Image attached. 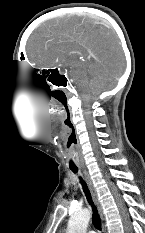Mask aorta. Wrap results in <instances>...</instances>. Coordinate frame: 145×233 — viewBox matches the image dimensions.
I'll use <instances>...</instances> for the list:
<instances>
[{"mask_svg":"<svg viewBox=\"0 0 145 233\" xmlns=\"http://www.w3.org/2000/svg\"><path fill=\"white\" fill-rule=\"evenodd\" d=\"M90 216L91 212L89 209L75 212L68 222L67 233H86Z\"/></svg>","mask_w":145,"mask_h":233,"instance_id":"762f6f07","label":"aorta"}]
</instances>
